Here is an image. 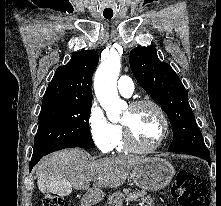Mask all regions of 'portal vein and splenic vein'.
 Listing matches in <instances>:
<instances>
[{"mask_svg":"<svg viewBox=\"0 0 221 206\" xmlns=\"http://www.w3.org/2000/svg\"><path fill=\"white\" fill-rule=\"evenodd\" d=\"M135 199H137V196H133V197H131L130 199L127 200V202H128V201L135 200Z\"/></svg>","mask_w":221,"mask_h":206,"instance_id":"portal-vein-and-splenic-vein-1","label":"portal vein and splenic vein"}]
</instances>
